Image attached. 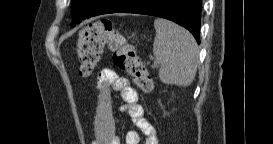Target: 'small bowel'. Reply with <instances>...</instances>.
Instances as JSON below:
<instances>
[{"label":"small bowel","mask_w":273,"mask_h":144,"mask_svg":"<svg viewBox=\"0 0 273 144\" xmlns=\"http://www.w3.org/2000/svg\"><path fill=\"white\" fill-rule=\"evenodd\" d=\"M97 108L94 120V144H120L112 114L111 90L120 92L123 104L121 110L127 113L137 130L127 132L126 144H158L155 128L144 115V108L139 104L136 89L128 79L118 75L112 68L100 71L95 84Z\"/></svg>","instance_id":"small-bowel-1"}]
</instances>
